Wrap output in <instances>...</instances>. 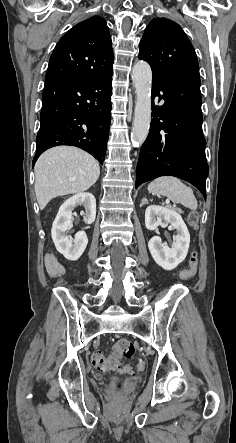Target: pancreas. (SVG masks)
I'll return each instance as SVG.
<instances>
[{
	"label": "pancreas",
	"mask_w": 236,
	"mask_h": 443,
	"mask_svg": "<svg viewBox=\"0 0 236 443\" xmlns=\"http://www.w3.org/2000/svg\"><path fill=\"white\" fill-rule=\"evenodd\" d=\"M175 210L180 212V213H183V211L181 209H179V208H175Z\"/></svg>",
	"instance_id": "pancreas-1"
}]
</instances>
